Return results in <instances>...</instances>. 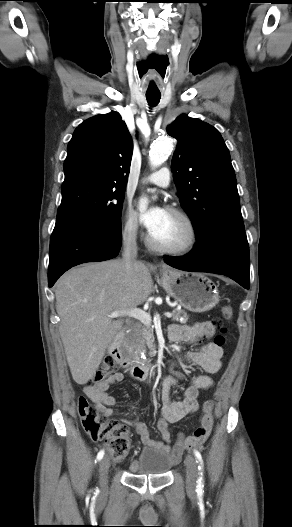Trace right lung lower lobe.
I'll return each instance as SVG.
<instances>
[{
    "instance_id": "1",
    "label": "right lung lower lobe",
    "mask_w": 292,
    "mask_h": 527,
    "mask_svg": "<svg viewBox=\"0 0 292 527\" xmlns=\"http://www.w3.org/2000/svg\"><path fill=\"white\" fill-rule=\"evenodd\" d=\"M121 244V231L90 219L72 216L57 218L50 240L49 287L73 266L116 257Z\"/></svg>"
}]
</instances>
